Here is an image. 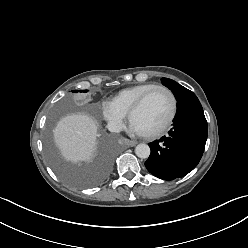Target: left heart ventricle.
<instances>
[{"label":"left heart ventricle","instance_id":"left-heart-ventricle-1","mask_svg":"<svg viewBox=\"0 0 248 248\" xmlns=\"http://www.w3.org/2000/svg\"><path fill=\"white\" fill-rule=\"evenodd\" d=\"M171 99L164 91L152 94L144 106L133 116L131 124L142 134L158 130L170 116Z\"/></svg>","mask_w":248,"mask_h":248}]
</instances>
